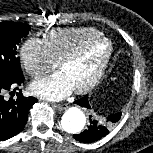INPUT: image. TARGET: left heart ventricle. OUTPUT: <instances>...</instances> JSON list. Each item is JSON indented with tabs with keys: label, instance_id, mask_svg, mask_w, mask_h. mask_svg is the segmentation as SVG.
Segmentation results:
<instances>
[{
	"label": "left heart ventricle",
	"instance_id": "1",
	"mask_svg": "<svg viewBox=\"0 0 153 153\" xmlns=\"http://www.w3.org/2000/svg\"><path fill=\"white\" fill-rule=\"evenodd\" d=\"M105 52L106 45L104 43L95 44L82 58L62 69L74 89L82 86L92 77Z\"/></svg>",
	"mask_w": 153,
	"mask_h": 153
}]
</instances>
